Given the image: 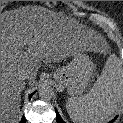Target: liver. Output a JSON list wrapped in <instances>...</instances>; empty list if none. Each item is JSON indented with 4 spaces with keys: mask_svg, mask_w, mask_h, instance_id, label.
Masks as SVG:
<instances>
[{
    "mask_svg": "<svg viewBox=\"0 0 123 123\" xmlns=\"http://www.w3.org/2000/svg\"><path fill=\"white\" fill-rule=\"evenodd\" d=\"M104 43L93 30L59 18L44 8L9 12L1 19V123H17L24 82L35 83L39 63L61 62L77 50L100 51ZM26 48V51H22Z\"/></svg>",
    "mask_w": 123,
    "mask_h": 123,
    "instance_id": "6515ba94",
    "label": "liver"
}]
</instances>
